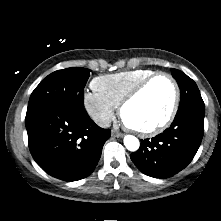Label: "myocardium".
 <instances>
[{
    "mask_svg": "<svg viewBox=\"0 0 221 221\" xmlns=\"http://www.w3.org/2000/svg\"><path fill=\"white\" fill-rule=\"evenodd\" d=\"M160 77L166 78L171 83L173 92H174L173 102H172L171 108L167 116L164 118L162 122L148 129H137L128 125L125 122L124 117H123L125 108L131 102H133L154 80ZM179 104H180V89H179L177 81L170 73L161 71V72L153 73L152 75L148 76L147 78L142 80L140 83H138L120 102L119 113L123 122L127 125L128 128L136 132L141 137H152V136L160 134L161 132H163L166 128L170 126V124L173 122L177 114Z\"/></svg>",
    "mask_w": 221,
    "mask_h": 221,
    "instance_id": "f54148a6",
    "label": "myocardium"
}]
</instances>
